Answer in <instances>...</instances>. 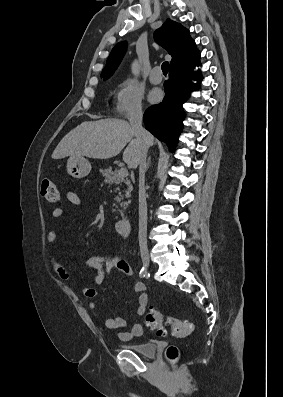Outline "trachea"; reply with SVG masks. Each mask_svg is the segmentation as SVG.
I'll return each mask as SVG.
<instances>
[{"mask_svg": "<svg viewBox=\"0 0 283 397\" xmlns=\"http://www.w3.org/2000/svg\"><path fill=\"white\" fill-rule=\"evenodd\" d=\"M161 69L163 71V74H167L169 69V62L168 61L163 62Z\"/></svg>", "mask_w": 283, "mask_h": 397, "instance_id": "3493384b", "label": "trachea"}]
</instances>
